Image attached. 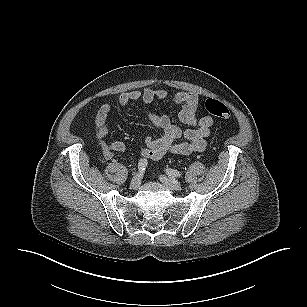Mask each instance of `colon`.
<instances>
[{
	"label": "colon",
	"mask_w": 307,
	"mask_h": 307,
	"mask_svg": "<svg viewBox=\"0 0 307 307\" xmlns=\"http://www.w3.org/2000/svg\"><path fill=\"white\" fill-rule=\"evenodd\" d=\"M205 110L212 116H215L219 119H228L230 117V112L228 108L219 100L208 99L205 102Z\"/></svg>",
	"instance_id": "1"
}]
</instances>
